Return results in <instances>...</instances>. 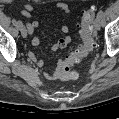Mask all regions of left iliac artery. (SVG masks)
I'll list each match as a JSON object with an SVG mask.
<instances>
[{"instance_id": "left-iliac-artery-1", "label": "left iliac artery", "mask_w": 119, "mask_h": 119, "mask_svg": "<svg viewBox=\"0 0 119 119\" xmlns=\"http://www.w3.org/2000/svg\"><path fill=\"white\" fill-rule=\"evenodd\" d=\"M103 14H104L103 10H100V11L97 13V17L102 18V17H103Z\"/></svg>"}]
</instances>
